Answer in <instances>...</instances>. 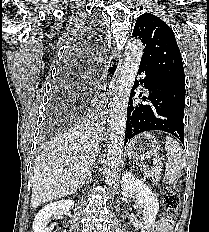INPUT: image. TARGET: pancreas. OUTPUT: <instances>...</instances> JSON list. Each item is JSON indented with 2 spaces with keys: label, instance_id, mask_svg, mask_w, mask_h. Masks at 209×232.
<instances>
[{
  "label": "pancreas",
  "instance_id": "cf45deb5",
  "mask_svg": "<svg viewBox=\"0 0 209 232\" xmlns=\"http://www.w3.org/2000/svg\"><path fill=\"white\" fill-rule=\"evenodd\" d=\"M145 177L151 178V181L153 183H158L160 180V174H161V166L154 167L153 169L149 170H144Z\"/></svg>",
  "mask_w": 209,
  "mask_h": 232
}]
</instances>
